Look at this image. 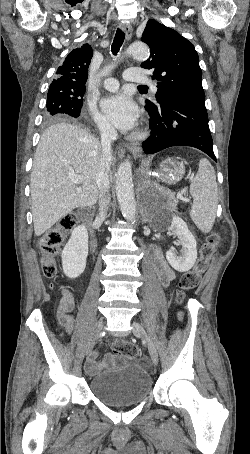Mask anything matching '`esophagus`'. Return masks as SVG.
Masks as SVG:
<instances>
[{
    "label": "esophagus",
    "mask_w": 250,
    "mask_h": 454,
    "mask_svg": "<svg viewBox=\"0 0 250 454\" xmlns=\"http://www.w3.org/2000/svg\"><path fill=\"white\" fill-rule=\"evenodd\" d=\"M119 27L125 32L126 38L129 40L132 37V26L126 23H120ZM128 149L135 158H139L142 155V148L140 144H130ZM120 155L123 154L120 153Z\"/></svg>",
    "instance_id": "obj_1"
}]
</instances>
